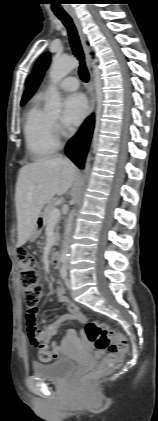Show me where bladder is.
Returning a JSON list of instances; mask_svg holds the SVG:
<instances>
[{"instance_id": "bladder-1", "label": "bladder", "mask_w": 158, "mask_h": 421, "mask_svg": "<svg viewBox=\"0 0 158 421\" xmlns=\"http://www.w3.org/2000/svg\"><path fill=\"white\" fill-rule=\"evenodd\" d=\"M76 368V362L68 357H61L49 363H34L32 366L36 376L61 381L69 377Z\"/></svg>"}]
</instances>
